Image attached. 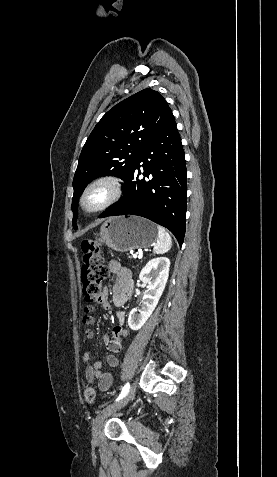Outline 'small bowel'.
Segmentation results:
<instances>
[{"label":"small bowel","instance_id":"c3829d8e","mask_svg":"<svg viewBox=\"0 0 277 477\" xmlns=\"http://www.w3.org/2000/svg\"><path fill=\"white\" fill-rule=\"evenodd\" d=\"M108 267L111 272L116 275V281L113 285L112 303L115 306H122L128 301L133 291L131 272L128 268L121 266L115 260H111L108 263ZM99 304L105 310H109L111 308L107 290H104L102 293ZM117 317L119 324L113 328L112 335H103L102 337L104 344L109 351L108 355L106 356V363L110 367H116L118 365L119 361L116 354L121 351L122 340L128 335L127 330L122 327L124 313L119 312ZM90 358L91 352H85L83 355V361L86 367L85 372L88 382L93 383L96 381L97 386L101 391H107L110 389L113 383L112 374L109 372H103L101 370L102 363L99 361L92 363Z\"/></svg>","mask_w":277,"mask_h":477}]
</instances>
